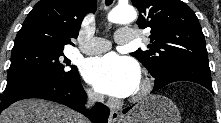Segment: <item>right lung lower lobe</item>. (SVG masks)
<instances>
[{"label":"right lung lower lobe","instance_id":"right-lung-lower-lobe-1","mask_svg":"<svg viewBox=\"0 0 221 123\" xmlns=\"http://www.w3.org/2000/svg\"><path fill=\"white\" fill-rule=\"evenodd\" d=\"M26 98H41L64 104L87 116L93 123H107L109 108L96 103L91 110H86V93L81 85L79 74L68 80L47 81L33 76L7 82L0 112L12 103Z\"/></svg>","mask_w":221,"mask_h":123}]
</instances>
